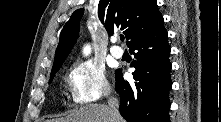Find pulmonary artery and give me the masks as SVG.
<instances>
[{
	"instance_id": "e3ab8cb5",
	"label": "pulmonary artery",
	"mask_w": 221,
	"mask_h": 122,
	"mask_svg": "<svg viewBox=\"0 0 221 122\" xmlns=\"http://www.w3.org/2000/svg\"><path fill=\"white\" fill-rule=\"evenodd\" d=\"M116 42H117V38L113 37L112 43H114V45L110 48V53L112 54L113 57L119 59L123 56V49L115 45Z\"/></svg>"
}]
</instances>
